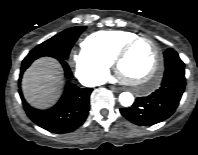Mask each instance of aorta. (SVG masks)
I'll return each instance as SVG.
<instances>
[{
    "instance_id": "obj_1",
    "label": "aorta",
    "mask_w": 198,
    "mask_h": 155,
    "mask_svg": "<svg viewBox=\"0 0 198 155\" xmlns=\"http://www.w3.org/2000/svg\"><path fill=\"white\" fill-rule=\"evenodd\" d=\"M119 102L121 103L122 106L129 107L133 104L134 97L130 92H122L119 95Z\"/></svg>"
}]
</instances>
